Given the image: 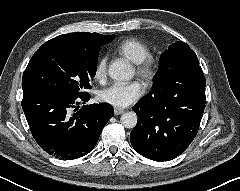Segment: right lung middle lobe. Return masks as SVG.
<instances>
[{
	"mask_svg": "<svg viewBox=\"0 0 240 191\" xmlns=\"http://www.w3.org/2000/svg\"><path fill=\"white\" fill-rule=\"evenodd\" d=\"M97 52H79L58 47L39 48L22 77V87H41L82 97L91 89L96 74Z\"/></svg>",
	"mask_w": 240,
	"mask_h": 191,
	"instance_id": "obj_1",
	"label": "right lung middle lobe"
}]
</instances>
